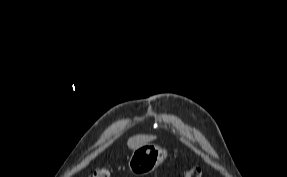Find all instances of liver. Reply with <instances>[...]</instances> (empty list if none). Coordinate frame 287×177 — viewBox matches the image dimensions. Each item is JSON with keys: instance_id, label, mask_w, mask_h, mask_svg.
<instances>
[{"instance_id": "liver-1", "label": "liver", "mask_w": 287, "mask_h": 177, "mask_svg": "<svg viewBox=\"0 0 287 177\" xmlns=\"http://www.w3.org/2000/svg\"><path fill=\"white\" fill-rule=\"evenodd\" d=\"M156 137L155 136H148V135H137L133 136L128 139L127 145L130 149H136L144 144L153 141Z\"/></svg>"}]
</instances>
